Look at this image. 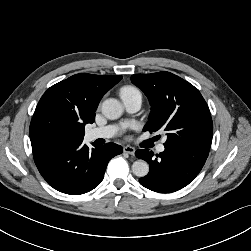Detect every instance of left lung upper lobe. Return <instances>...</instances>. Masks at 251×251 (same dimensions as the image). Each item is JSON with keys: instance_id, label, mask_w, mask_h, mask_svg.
Segmentation results:
<instances>
[{"instance_id": "5c2ea615", "label": "left lung upper lobe", "mask_w": 251, "mask_h": 251, "mask_svg": "<svg viewBox=\"0 0 251 251\" xmlns=\"http://www.w3.org/2000/svg\"><path fill=\"white\" fill-rule=\"evenodd\" d=\"M131 81L148 97L149 121L144 131L164 130V146L210 148L213 122L199 90L182 78L169 73L135 74Z\"/></svg>"}]
</instances>
